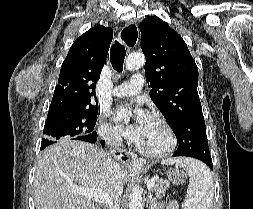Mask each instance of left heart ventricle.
Here are the masks:
<instances>
[{
	"label": "left heart ventricle",
	"instance_id": "1",
	"mask_svg": "<svg viewBox=\"0 0 253 209\" xmlns=\"http://www.w3.org/2000/svg\"><path fill=\"white\" fill-rule=\"evenodd\" d=\"M167 143L168 138L165 129L152 118L138 144L147 150L159 151L165 148Z\"/></svg>",
	"mask_w": 253,
	"mask_h": 209
}]
</instances>
